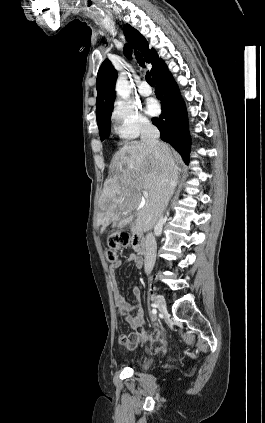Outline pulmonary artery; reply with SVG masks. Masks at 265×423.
Wrapping results in <instances>:
<instances>
[{"label": "pulmonary artery", "mask_w": 265, "mask_h": 423, "mask_svg": "<svg viewBox=\"0 0 265 423\" xmlns=\"http://www.w3.org/2000/svg\"><path fill=\"white\" fill-rule=\"evenodd\" d=\"M138 92L142 96H149L152 93V88L148 85V83L142 81L138 87Z\"/></svg>", "instance_id": "1"}]
</instances>
